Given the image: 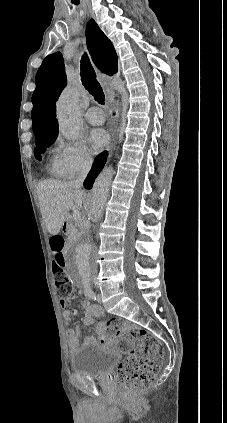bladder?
<instances>
[{
    "instance_id": "bladder-1",
    "label": "bladder",
    "mask_w": 227,
    "mask_h": 423,
    "mask_svg": "<svg viewBox=\"0 0 227 423\" xmlns=\"http://www.w3.org/2000/svg\"><path fill=\"white\" fill-rule=\"evenodd\" d=\"M119 357L114 352L105 351L99 344L82 346L72 357V371L94 380H104L111 375Z\"/></svg>"
}]
</instances>
